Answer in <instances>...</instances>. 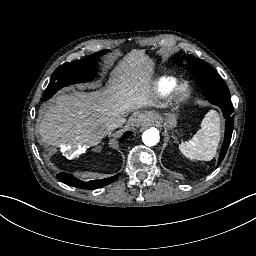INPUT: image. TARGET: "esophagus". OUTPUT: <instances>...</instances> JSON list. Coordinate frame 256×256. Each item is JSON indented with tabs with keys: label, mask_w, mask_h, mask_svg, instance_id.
<instances>
[{
	"label": "esophagus",
	"mask_w": 256,
	"mask_h": 256,
	"mask_svg": "<svg viewBox=\"0 0 256 256\" xmlns=\"http://www.w3.org/2000/svg\"><path fill=\"white\" fill-rule=\"evenodd\" d=\"M153 119L147 116L146 114H140L136 119H135V126H150L153 124Z\"/></svg>",
	"instance_id": "1"
}]
</instances>
